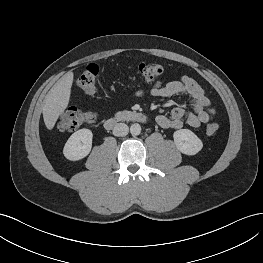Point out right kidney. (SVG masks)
<instances>
[{"mask_svg": "<svg viewBox=\"0 0 263 263\" xmlns=\"http://www.w3.org/2000/svg\"><path fill=\"white\" fill-rule=\"evenodd\" d=\"M93 134L89 129L74 132L65 143L63 154L72 161L86 157L92 148Z\"/></svg>", "mask_w": 263, "mask_h": 263, "instance_id": "ca27d5eb", "label": "right kidney"}]
</instances>
